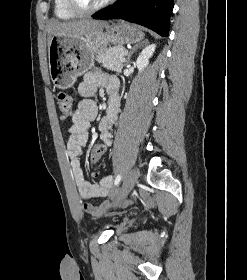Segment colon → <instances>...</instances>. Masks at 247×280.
<instances>
[{
    "mask_svg": "<svg viewBox=\"0 0 247 280\" xmlns=\"http://www.w3.org/2000/svg\"><path fill=\"white\" fill-rule=\"evenodd\" d=\"M58 108L62 118H68L72 115V98L66 93H60L57 97ZM107 145L105 143H94L90 152V160L98 161L105 155Z\"/></svg>",
    "mask_w": 247,
    "mask_h": 280,
    "instance_id": "obj_1",
    "label": "colon"
}]
</instances>
